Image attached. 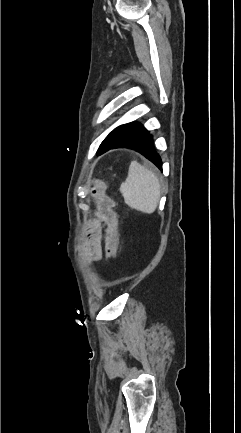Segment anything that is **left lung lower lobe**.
<instances>
[{
	"label": "left lung lower lobe",
	"instance_id": "obj_1",
	"mask_svg": "<svg viewBox=\"0 0 241 433\" xmlns=\"http://www.w3.org/2000/svg\"><path fill=\"white\" fill-rule=\"evenodd\" d=\"M131 148L142 155H144L148 160L153 162L160 170H162V161L158 153L155 151L154 148V141L151 134L147 133L145 136L136 139L124 146H121L119 148Z\"/></svg>",
	"mask_w": 241,
	"mask_h": 433
}]
</instances>
